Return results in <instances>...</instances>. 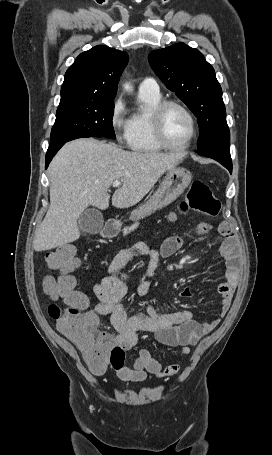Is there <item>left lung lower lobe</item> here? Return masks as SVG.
Masks as SVG:
<instances>
[{"label":"left lung lower lobe","mask_w":272,"mask_h":455,"mask_svg":"<svg viewBox=\"0 0 272 455\" xmlns=\"http://www.w3.org/2000/svg\"><path fill=\"white\" fill-rule=\"evenodd\" d=\"M198 154L217 160L232 173L230 142L219 143L206 149L199 150Z\"/></svg>","instance_id":"0a47b994"}]
</instances>
